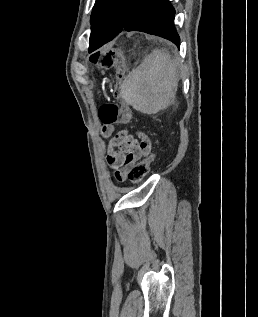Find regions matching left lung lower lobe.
I'll return each instance as SVG.
<instances>
[{
    "mask_svg": "<svg viewBox=\"0 0 258 317\" xmlns=\"http://www.w3.org/2000/svg\"><path fill=\"white\" fill-rule=\"evenodd\" d=\"M174 16L175 10L169 0H131L121 27H97L92 30L89 52L112 40L122 30L157 35L172 41L180 48V38L174 27Z\"/></svg>",
    "mask_w": 258,
    "mask_h": 317,
    "instance_id": "obj_1",
    "label": "left lung lower lobe"
}]
</instances>
